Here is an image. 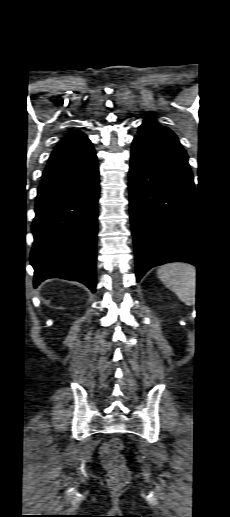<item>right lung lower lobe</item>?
<instances>
[{
  "instance_id": "obj_1",
  "label": "right lung lower lobe",
  "mask_w": 230,
  "mask_h": 517,
  "mask_svg": "<svg viewBox=\"0 0 230 517\" xmlns=\"http://www.w3.org/2000/svg\"><path fill=\"white\" fill-rule=\"evenodd\" d=\"M98 199L97 162L68 178L40 184L30 254L35 287L48 278H63L95 292Z\"/></svg>"
}]
</instances>
